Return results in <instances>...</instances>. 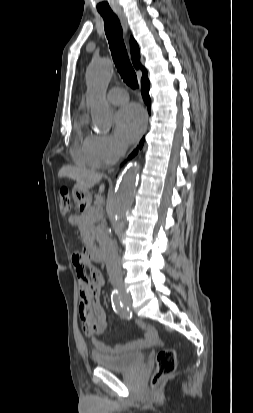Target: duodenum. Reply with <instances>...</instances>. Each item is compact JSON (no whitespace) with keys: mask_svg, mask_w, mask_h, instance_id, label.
Returning <instances> with one entry per match:
<instances>
[{"mask_svg":"<svg viewBox=\"0 0 253 413\" xmlns=\"http://www.w3.org/2000/svg\"><path fill=\"white\" fill-rule=\"evenodd\" d=\"M86 255L93 261H103L104 254L99 247L96 246H86L85 248Z\"/></svg>","mask_w":253,"mask_h":413,"instance_id":"obj_1","label":"duodenum"}]
</instances>
